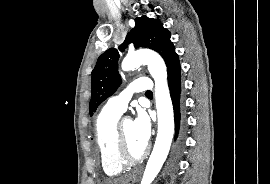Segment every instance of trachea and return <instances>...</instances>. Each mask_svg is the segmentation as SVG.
<instances>
[{
    "instance_id": "3493384b",
    "label": "trachea",
    "mask_w": 270,
    "mask_h": 184,
    "mask_svg": "<svg viewBox=\"0 0 270 184\" xmlns=\"http://www.w3.org/2000/svg\"><path fill=\"white\" fill-rule=\"evenodd\" d=\"M146 95H152V92L151 91H147L146 92Z\"/></svg>"
}]
</instances>
